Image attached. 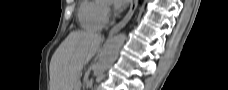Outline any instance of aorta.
Listing matches in <instances>:
<instances>
[{"label":"aorta","mask_w":228,"mask_h":90,"mask_svg":"<svg viewBox=\"0 0 228 90\" xmlns=\"http://www.w3.org/2000/svg\"><path fill=\"white\" fill-rule=\"evenodd\" d=\"M126 40L124 33L110 37L98 57L93 69V76L98 78L101 76L117 59L119 51Z\"/></svg>","instance_id":"1"}]
</instances>
